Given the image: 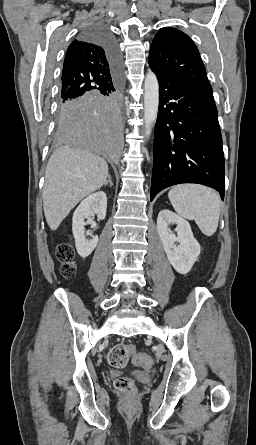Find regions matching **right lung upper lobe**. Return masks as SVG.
Listing matches in <instances>:
<instances>
[{
	"label": "right lung upper lobe",
	"mask_w": 256,
	"mask_h": 445,
	"mask_svg": "<svg viewBox=\"0 0 256 445\" xmlns=\"http://www.w3.org/2000/svg\"><path fill=\"white\" fill-rule=\"evenodd\" d=\"M117 76L105 50L81 34L67 49L59 100L111 89Z\"/></svg>",
	"instance_id": "right-lung-upper-lobe-1"
}]
</instances>
